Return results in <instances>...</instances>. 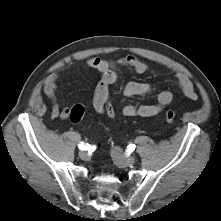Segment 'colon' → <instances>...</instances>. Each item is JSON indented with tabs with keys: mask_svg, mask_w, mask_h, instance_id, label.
Instances as JSON below:
<instances>
[{
	"mask_svg": "<svg viewBox=\"0 0 221 221\" xmlns=\"http://www.w3.org/2000/svg\"><path fill=\"white\" fill-rule=\"evenodd\" d=\"M85 114V107L83 105L77 104L74 105L69 112L68 118L72 122H79ZM104 115L111 123L119 122V115L116 111V104L114 102H107L105 104ZM164 120L168 123L174 122L176 119V113L173 110H166L163 114Z\"/></svg>",
	"mask_w": 221,
	"mask_h": 221,
	"instance_id": "obj_1",
	"label": "colon"
}]
</instances>
